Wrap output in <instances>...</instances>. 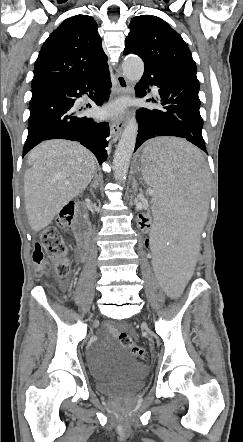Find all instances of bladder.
I'll return each instance as SVG.
<instances>
[{
    "instance_id": "obj_1",
    "label": "bladder",
    "mask_w": 243,
    "mask_h": 442,
    "mask_svg": "<svg viewBox=\"0 0 243 442\" xmlns=\"http://www.w3.org/2000/svg\"><path fill=\"white\" fill-rule=\"evenodd\" d=\"M89 371L96 379L97 392L103 395L126 397L144 387L146 369L127 355L114 360L95 359L90 363Z\"/></svg>"
}]
</instances>
